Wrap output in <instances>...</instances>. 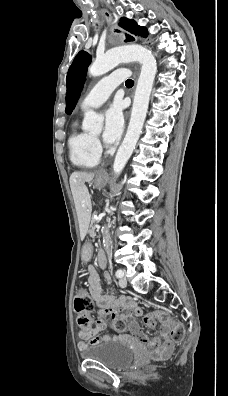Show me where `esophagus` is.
Masks as SVG:
<instances>
[{
	"mask_svg": "<svg viewBox=\"0 0 228 396\" xmlns=\"http://www.w3.org/2000/svg\"><path fill=\"white\" fill-rule=\"evenodd\" d=\"M101 13H102V16L104 17V19L106 20V22L108 24H110L112 26L115 25L116 21L113 19L111 13L108 10L104 9V10L101 11ZM99 174H101V175L106 174V171L105 170H100Z\"/></svg>",
	"mask_w": 228,
	"mask_h": 396,
	"instance_id": "obj_1",
	"label": "esophagus"
}]
</instances>
